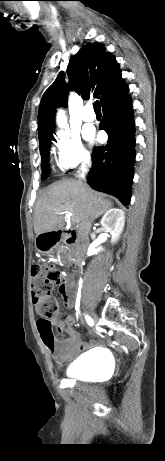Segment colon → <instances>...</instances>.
<instances>
[{"label": "colon", "instance_id": "obj_1", "mask_svg": "<svg viewBox=\"0 0 165 461\" xmlns=\"http://www.w3.org/2000/svg\"><path fill=\"white\" fill-rule=\"evenodd\" d=\"M48 236L42 238L43 245L52 243ZM31 295L32 301L41 318L38 321V328L41 339L46 347L53 349L55 347V336L51 319L57 317L59 307L58 302L51 296L54 286H57L60 271L51 265L37 263L33 265L32 270Z\"/></svg>", "mask_w": 165, "mask_h": 461}]
</instances>
